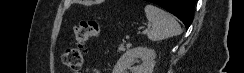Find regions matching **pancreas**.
Returning a JSON list of instances; mask_svg holds the SVG:
<instances>
[{"mask_svg": "<svg viewBox=\"0 0 244 73\" xmlns=\"http://www.w3.org/2000/svg\"><path fill=\"white\" fill-rule=\"evenodd\" d=\"M131 46L130 43H127L126 45L124 44H120L119 47H118V52H122V51H125L126 49H128L129 47Z\"/></svg>", "mask_w": 244, "mask_h": 73, "instance_id": "pancreas-1", "label": "pancreas"}]
</instances>
